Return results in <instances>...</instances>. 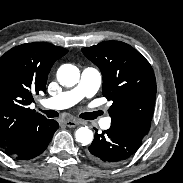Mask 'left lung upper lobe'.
Segmentation results:
<instances>
[{
    "mask_svg": "<svg viewBox=\"0 0 183 183\" xmlns=\"http://www.w3.org/2000/svg\"><path fill=\"white\" fill-rule=\"evenodd\" d=\"M103 75L102 94L112 102L111 125L144 138L153 116L156 80L146 58L130 45L106 41L82 48Z\"/></svg>",
    "mask_w": 183,
    "mask_h": 183,
    "instance_id": "obj_1",
    "label": "left lung upper lobe"
}]
</instances>
